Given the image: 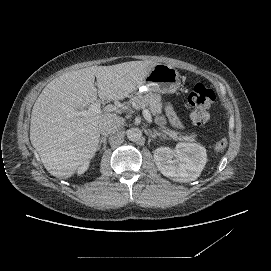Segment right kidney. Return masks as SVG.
I'll return each mask as SVG.
<instances>
[{
	"label": "right kidney",
	"instance_id": "right-kidney-1",
	"mask_svg": "<svg viewBox=\"0 0 271 271\" xmlns=\"http://www.w3.org/2000/svg\"><path fill=\"white\" fill-rule=\"evenodd\" d=\"M90 161H84L82 164L77 166V174H84L89 168Z\"/></svg>",
	"mask_w": 271,
	"mask_h": 271
}]
</instances>
